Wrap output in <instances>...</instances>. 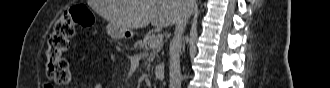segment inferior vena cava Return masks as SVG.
I'll use <instances>...</instances> for the list:
<instances>
[{"mask_svg":"<svg viewBox=\"0 0 330 88\" xmlns=\"http://www.w3.org/2000/svg\"><path fill=\"white\" fill-rule=\"evenodd\" d=\"M181 2L184 4V8L175 23L174 36L169 45V88H181L180 54L182 48V35L192 12L186 6L189 0H181Z\"/></svg>","mask_w":330,"mask_h":88,"instance_id":"1","label":"inferior vena cava"}]
</instances>
